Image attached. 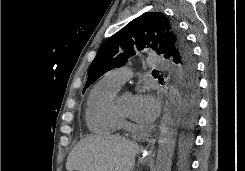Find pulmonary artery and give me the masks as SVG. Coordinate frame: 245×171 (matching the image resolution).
<instances>
[{
	"mask_svg": "<svg viewBox=\"0 0 245 171\" xmlns=\"http://www.w3.org/2000/svg\"><path fill=\"white\" fill-rule=\"evenodd\" d=\"M152 68L167 69L169 67L168 61L159 56H151L148 58ZM130 70L126 67L113 69L105 74L104 79L111 85L121 88V86L130 78Z\"/></svg>",
	"mask_w": 245,
	"mask_h": 171,
	"instance_id": "1",
	"label": "pulmonary artery"
}]
</instances>
